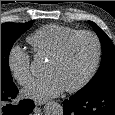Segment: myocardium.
<instances>
[{
	"label": "myocardium",
	"mask_w": 115,
	"mask_h": 115,
	"mask_svg": "<svg viewBox=\"0 0 115 115\" xmlns=\"http://www.w3.org/2000/svg\"><path fill=\"white\" fill-rule=\"evenodd\" d=\"M81 36H89L94 40L95 46H96V55H95L92 68L89 71V73L86 75V77L82 81H80L78 84L65 88V90L70 93L77 92L83 89L85 86H87L91 82V80L96 75L101 63V58H102V44L99 37L92 31H88V30L78 31L77 33L66 38L58 47V49L48 59V61H51V62L59 61L64 56V54L66 53L67 49L72 44V42Z\"/></svg>",
	"instance_id": "obj_1"
}]
</instances>
